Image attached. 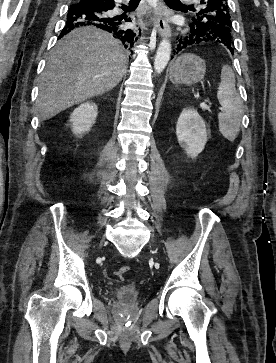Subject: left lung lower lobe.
I'll list each match as a JSON object with an SVG mask.
<instances>
[{
  "mask_svg": "<svg viewBox=\"0 0 276 363\" xmlns=\"http://www.w3.org/2000/svg\"><path fill=\"white\" fill-rule=\"evenodd\" d=\"M189 26L191 27V30L188 35L179 39V44L176 48L177 53L183 49H186L190 45L205 43L214 39L210 33L204 32L203 28L192 26L191 24ZM230 51L233 53V50Z\"/></svg>",
  "mask_w": 276,
  "mask_h": 363,
  "instance_id": "0a47b994",
  "label": "left lung lower lobe"
}]
</instances>
